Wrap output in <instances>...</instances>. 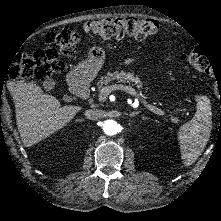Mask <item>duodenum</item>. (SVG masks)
Wrapping results in <instances>:
<instances>
[{"label":"duodenum","instance_id":"1","mask_svg":"<svg viewBox=\"0 0 221 221\" xmlns=\"http://www.w3.org/2000/svg\"><path fill=\"white\" fill-rule=\"evenodd\" d=\"M70 87L72 93L80 98L85 99L89 95V81L85 71H76L71 75Z\"/></svg>","mask_w":221,"mask_h":221}]
</instances>
